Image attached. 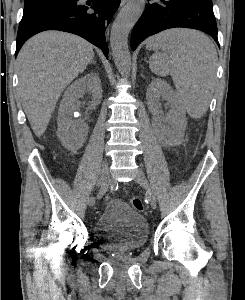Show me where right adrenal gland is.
I'll use <instances>...</instances> for the list:
<instances>
[{
  "label": "right adrenal gland",
  "mask_w": 245,
  "mask_h": 300,
  "mask_svg": "<svg viewBox=\"0 0 245 300\" xmlns=\"http://www.w3.org/2000/svg\"><path fill=\"white\" fill-rule=\"evenodd\" d=\"M91 63L96 64V61H95V60H92Z\"/></svg>",
  "instance_id": "2a0ac1e0"
}]
</instances>
